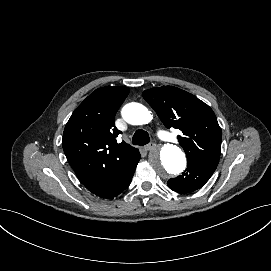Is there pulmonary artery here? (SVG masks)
<instances>
[{
	"mask_svg": "<svg viewBox=\"0 0 271 271\" xmlns=\"http://www.w3.org/2000/svg\"><path fill=\"white\" fill-rule=\"evenodd\" d=\"M155 133L157 134V137L161 139L163 142L171 143L173 141V138L171 136H166L165 130L163 128H157L155 130Z\"/></svg>",
	"mask_w": 271,
	"mask_h": 271,
	"instance_id": "e3ab8cb5",
	"label": "pulmonary artery"
}]
</instances>
